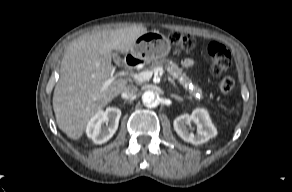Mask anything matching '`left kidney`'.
<instances>
[{"label":"left kidney","mask_w":292,"mask_h":192,"mask_svg":"<svg viewBox=\"0 0 292 192\" xmlns=\"http://www.w3.org/2000/svg\"><path fill=\"white\" fill-rule=\"evenodd\" d=\"M194 123L197 126V134L189 132L187 125ZM174 130L186 142L199 145L207 142L217 135V129L213 125L209 113L204 108H196L191 115L183 114L173 122Z\"/></svg>","instance_id":"left-kidney-1"}]
</instances>
